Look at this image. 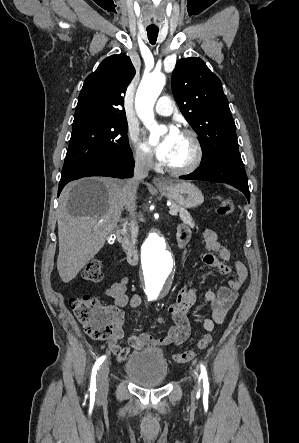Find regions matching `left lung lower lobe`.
<instances>
[{
	"label": "left lung lower lobe",
	"mask_w": 299,
	"mask_h": 443,
	"mask_svg": "<svg viewBox=\"0 0 299 443\" xmlns=\"http://www.w3.org/2000/svg\"><path fill=\"white\" fill-rule=\"evenodd\" d=\"M180 179L207 180L227 183L239 189L250 202L248 179L243 162L232 159H217L204 164L193 173Z\"/></svg>",
	"instance_id": "obj_1"
}]
</instances>
